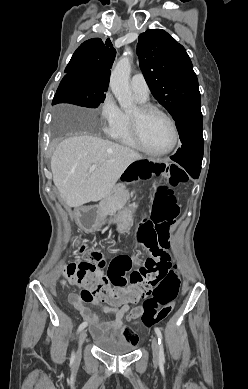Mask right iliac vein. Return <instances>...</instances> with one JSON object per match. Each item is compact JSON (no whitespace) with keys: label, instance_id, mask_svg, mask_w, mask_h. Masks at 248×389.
Here are the masks:
<instances>
[{"label":"right iliac vein","instance_id":"63e3f726","mask_svg":"<svg viewBox=\"0 0 248 389\" xmlns=\"http://www.w3.org/2000/svg\"><path fill=\"white\" fill-rule=\"evenodd\" d=\"M86 336H87L86 330H82L80 335H79V340H78V344H79L78 354L81 353V349H82V346H83L84 341L86 339Z\"/></svg>","mask_w":248,"mask_h":389}]
</instances>
